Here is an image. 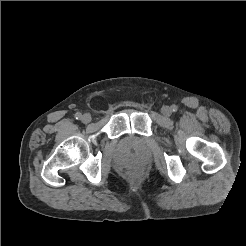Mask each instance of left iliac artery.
Instances as JSON below:
<instances>
[{
	"label": "left iliac artery",
	"mask_w": 246,
	"mask_h": 246,
	"mask_svg": "<svg viewBox=\"0 0 246 246\" xmlns=\"http://www.w3.org/2000/svg\"><path fill=\"white\" fill-rule=\"evenodd\" d=\"M177 109H178V107H177L176 105H173V106H172V111H173V112H176Z\"/></svg>",
	"instance_id": "44dca946"
}]
</instances>
